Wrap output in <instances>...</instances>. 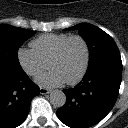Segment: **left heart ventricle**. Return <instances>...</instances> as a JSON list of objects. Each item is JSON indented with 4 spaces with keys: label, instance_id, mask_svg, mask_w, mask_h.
<instances>
[{
    "label": "left heart ventricle",
    "instance_id": "1",
    "mask_svg": "<svg viewBox=\"0 0 128 128\" xmlns=\"http://www.w3.org/2000/svg\"><path fill=\"white\" fill-rule=\"evenodd\" d=\"M84 60V46L80 40L74 39L66 46L63 56L53 62L49 68L55 70L64 81H69L81 72Z\"/></svg>",
    "mask_w": 128,
    "mask_h": 128
}]
</instances>
